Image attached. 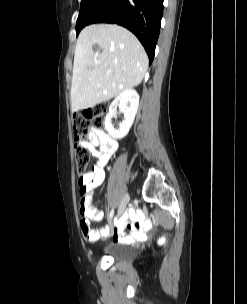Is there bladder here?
<instances>
[{"mask_svg": "<svg viewBox=\"0 0 247 304\" xmlns=\"http://www.w3.org/2000/svg\"><path fill=\"white\" fill-rule=\"evenodd\" d=\"M106 254L115 261H126L135 255V251L128 245L115 243L107 248Z\"/></svg>", "mask_w": 247, "mask_h": 304, "instance_id": "1", "label": "bladder"}]
</instances>
